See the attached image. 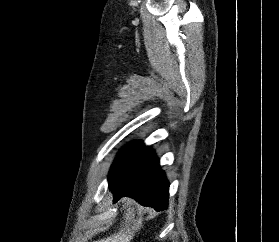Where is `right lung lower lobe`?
<instances>
[{
    "label": "right lung lower lobe",
    "mask_w": 279,
    "mask_h": 242,
    "mask_svg": "<svg viewBox=\"0 0 279 242\" xmlns=\"http://www.w3.org/2000/svg\"><path fill=\"white\" fill-rule=\"evenodd\" d=\"M109 188L114 193V202L122 197H132L157 211L168 205L169 183L154 151L147 147L109 177Z\"/></svg>",
    "instance_id": "right-lung-lower-lobe-1"
}]
</instances>
